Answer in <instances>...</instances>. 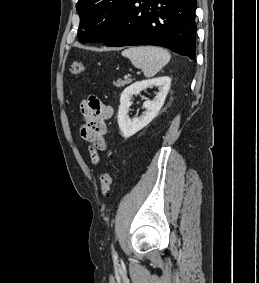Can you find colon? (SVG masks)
Returning <instances> with one entry per match:
<instances>
[{
    "instance_id": "obj_1",
    "label": "colon",
    "mask_w": 259,
    "mask_h": 283,
    "mask_svg": "<svg viewBox=\"0 0 259 283\" xmlns=\"http://www.w3.org/2000/svg\"><path fill=\"white\" fill-rule=\"evenodd\" d=\"M69 70L72 75H81L86 73L87 67L83 62L74 61L71 63ZM111 183H112L111 174L109 171H105L101 175V184H100L101 195L104 198L109 197Z\"/></svg>"
}]
</instances>
